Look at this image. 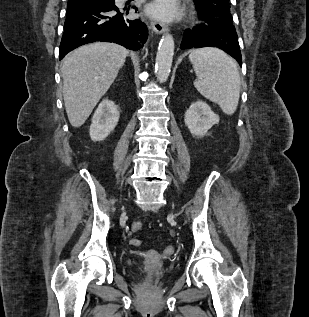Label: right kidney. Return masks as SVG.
<instances>
[{"mask_svg":"<svg viewBox=\"0 0 309 317\" xmlns=\"http://www.w3.org/2000/svg\"><path fill=\"white\" fill-rule=\"evenodd\" d=\"M119 111L115 103L104 99L96 109L90 125V138L93 141L104 140L113 131L119 121Z\"/></svg>","mask_w":309,"mask_h":317,"instance_id":"1","label":"right kidney"}]
</instances>
